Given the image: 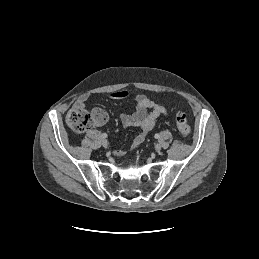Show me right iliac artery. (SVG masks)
<instances>
[{
    "label": "right iliac artery",
    "instance_id": "right-iliac-artery-1",
    "mask_svg": "<svg viewBox=\"0 0 259 259\" xmlns=\"http://www.w3.org/2000/svg\"><path fill=\"white\" fill-rule=\"evenodd\" d=\"M102 137H103V138H107V134H106V133H103V134H102Z\"/></svg>",
    "mask_w": 259,
    "mask_h": 259
}]
</instances>
